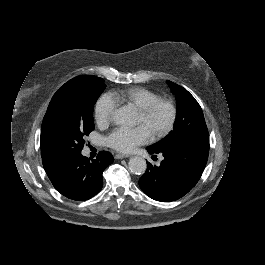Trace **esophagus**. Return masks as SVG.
<instances>
[{
  "instance_id": "esophagus-1",
  "label": "esophagus",
  "mask_w": 265,
  "mask_h": 265,
  "mask_svg": "<svg viewBox=\"0 0 265 265\" xmlns=\"http://www.w3.org/2000/svg\"><path fill=\"white\" fill-rule=\"evenodd\" d=\"M128 157H129V155H127V154H116L115 155L116 159H124V158H128Z\"/></svg>"
}]
</instances>
